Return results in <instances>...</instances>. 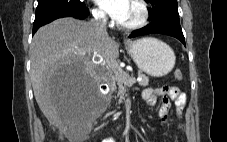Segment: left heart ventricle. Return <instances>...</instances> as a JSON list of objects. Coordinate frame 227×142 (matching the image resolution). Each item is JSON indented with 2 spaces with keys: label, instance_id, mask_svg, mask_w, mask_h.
<instances>
[{
  "label": "left heart ventricle",
  "instance_id": "1",
  "mask_svg": "<svg viewBox=\"0 0 227 142\" xmlns=\"http://www.w3.org/2000/svg\"><path fill=\"white\" fill-rule=\"evenodd\" d=\"M140 15V10L138 5L134 2V0H130L128 10L124 18L120 21L123 24H129L138 19Z\"/></svg>",
  "mask_w": 227,
  "mask_h": 142
}]
</instances>
